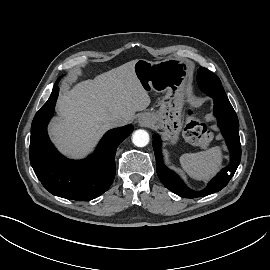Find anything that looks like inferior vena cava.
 Wrapping results in <instances>:
<instances>
[{
  "label": "inferior vena cava",
  "instance_id": "602c4592",
  "mask_svg": "<svg viewBox=\"0 0 270 270\" xmlns=\"http://www.w3.org/2000/svg\"><path fill=\"white\" fill-rule=\"evenodd\" d=\"M124 124H125V120L120 116L112 117L110 119V125L112 127H118V126H122Z\"/></svg>",
  "mask_w": 270,
  "mask_h": 270
}]
</instances>
